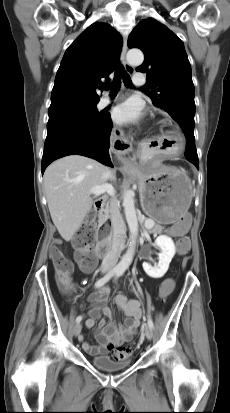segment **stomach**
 Masks as SVG:
<instances>
[{
  "label": "stomach",
  "instance_id": "obj_1",
  "mask_svg": "<svg viewBox=\"0 0 230 413\" xmlns=\"http://www.w3.org/2000/svg\"><path fill=\"white\" fill-rule=\"evenodd\" d=\"M143 211L160 224L178 220L189 209L192 186L188 176L174 167L158 166L137 174Z\"/></svg>",
  "mask_w": 230,
  "mask_h": 413
}]
</instances>
